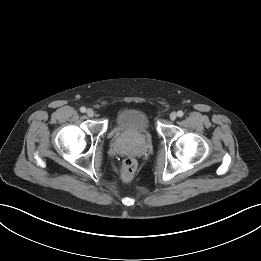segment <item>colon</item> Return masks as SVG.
I'll list each match as a JSON object with an SVG mask.
<instances>
[{"instance_id": "obj_1", "label": "colon", "mask_w": 261, "mask_h": 261, "mask_svg": "<svg viewBox=\"0 0 261 261\" xmlns=\"http://www.w3.org/2000/svg\"><path fill=\"white\" fill-rule=\"evenodd\" d=\"M137 170V162L133 158H126L121 166V177L123 180H131Z\"/></svg>"}]
</instances>
